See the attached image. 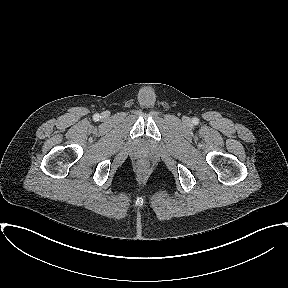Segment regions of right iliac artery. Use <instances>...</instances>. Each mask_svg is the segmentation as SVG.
<instances>
[{"instance_id": "82829eb1", "label": "right iliac artery", "mask_w": 288, "mask_h": 288, "mask_svg": "<svg viewBox=\"0 0 288 288\" xmlns=\"http://www.w3.org/2000/svg\"><path fill=\"white\" fill-rule=\"evenodd\" d=\"M93 118H94V120L98 121L99 118H100V116H99V114H95V115L93 116Z\"/></svg>"}]
</instances>
